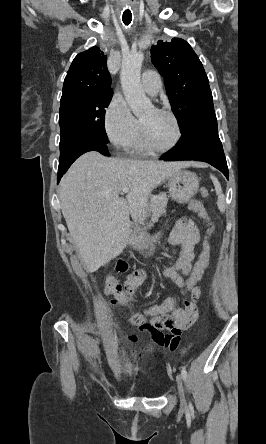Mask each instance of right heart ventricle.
Segmentation results:
<instances>
[{
  "instance_id": "e07e8e85",
  "label": "right heart ventricle",
  "mask_w": 266,
  "mask_h": 444,
  "mask_svg": "<svg viewBox=\"0 0 266 444\" xmlns=\"http://www.w3.org/2000/svg\"><path fill=\"white\" fill-rule=\"evenodd\" d=\"M128 148L130 153L135 156L148 155L150 153V150L144 145L140 127L134 140Z\"/></svg>"
}]
</instances>
